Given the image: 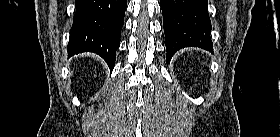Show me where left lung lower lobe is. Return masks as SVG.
I'll use <instances>...</instances> for the list:
<instances>
[{
  "mask_svg": "<svg viewBox=\"0 0 280 137\" xmlns=\"http://www.w3.org/2000/svg\"><path fill=\"white\" fill-rule=\"evenodd\" d=\"M208 0H161L167 62L179 49L213 50Z\"/></svg>",
  "mask_w": 280,
  "mask_h": 137,
  "instance_id": "1",
  "label": "left lung lower lobe"
}]
</instances>
